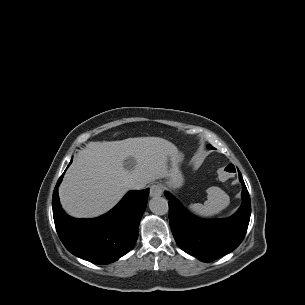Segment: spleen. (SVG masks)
<instances>
[{
	"mask_svg": "<svg viewBox=\"0 0 305 305\" xmlns=\"http://www.w3.org/2000/svg\"><path fill=\"white\" fill-rule=\"evenodd\" d=\"M207 200L204 204L195 203L189 205V209L196 215L201 217H209L219 213L228 205V197L226 193L219 187H210L207 189Z\"/></svg>",
	"mask_w": 305,
	"mask_h": 305,
	"instance_id": "spleen-1",
	"label": "spleen"
}]
</instances>
